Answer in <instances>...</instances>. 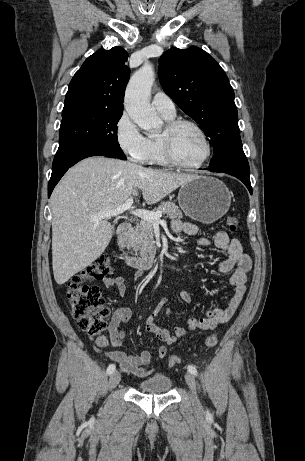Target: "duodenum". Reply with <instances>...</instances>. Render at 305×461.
Instances as JSON below:
<instances>
[{"label":"duodenum","instance_id":"duodenum-1","mask_svg":"<svg viewBox=\"0 0 305 461\" xmlns=\"http://www.w3.org/2000/svg\"><path fill=\"white\" fill-rule=\"evenodd\" d=\"M131 231V224L129 222L122 223L116 235V245L119 248H122L129 237ZM122 262L134 269L148 270L151 269L156 260V253L150 252L142 256H131L128 254H123L121 257Z\"/></svg>","mask_w":305,"mask_h":461}]
</instances>
